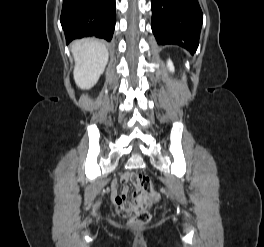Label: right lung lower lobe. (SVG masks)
<instances>
[{
	"label": "right lung lower lobe",
	"instance_id": "98d812e1",
	"mask_svg": "<svg viewBox=\"0 0 264 247\" xmlns=\"http://www.w3.org/2000/svg\"><path fill=\"white\" fill-rule=\"evenodd\" d=\"M61 25L66 42L87 36L112 39L115 23V0H63Z\"/></svg>",
	"mask_w": 264,
	"mask_h": 247
}]
</instances>
